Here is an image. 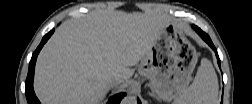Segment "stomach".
<instances>
[{
  "label": "stomach",
  "instance_id": "stomach-1",
  "mask_svg": "<svg viewBox=\"0 0 252 104\" xmlns=\"http://www.w3.org/2000/svg\"><path fill=\"white\" fill-rule=\"evenodd\" d=\"M197 60L198 53L183 31L169 22L143 58L139 74L150 80L160 99L169 101L187 89Z\"/></svg>",
  "mask_w": 252,
  "mask_h": 104
}]
</instances>
